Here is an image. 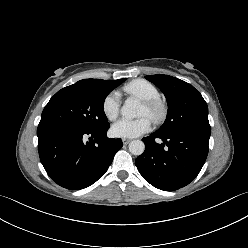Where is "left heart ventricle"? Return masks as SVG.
<instances>
[{"mask_svg":"<svg viewBox=\"0 0 248 248\" xmlns=\"http://www.w3.org/2000/svg\"><path fill=\"white\" fill-rule=\"evenodd\" d=\"M140 114L141 115H147V110H146V108H145L144 105L142 106V109H141V113Z\"/></svg>","mask_w":248,"mask_h":248,"instance_id":"obj_1","label":"left heart ventricle"}]
</instances>
